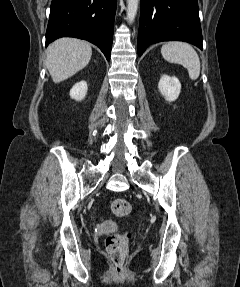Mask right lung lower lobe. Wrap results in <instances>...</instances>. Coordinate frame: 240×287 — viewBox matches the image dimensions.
I'll return each mask as SVG.
<instances>
[{"mask_svg":"<svg viewBox=\"0 0 240 287\" xmlns=\"http://www.w3.org/2000/svg\"><path fill=\"white\" fill-rule=\"evenodd\" d=\"M117 0H52L46 46L60 37L97 45L110 60Z\"/></svg>","mask_w":240,"mask_h":287,"instance_id":"1","label":"right lung lower lobe"}]
</instances>
